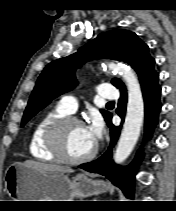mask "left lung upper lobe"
<instances>
[{
  "mask_svg": "<svg viewBox=\"0 0 176 211\" xmlns=\"http://www.w3.org/2000/svg\"><path fill=\"white\" fill-rule=\"evenodd\" d=\"M148 46L138 36L124 29L102 33L81 47L76 53L49 63L39 76L24 112L22 126L57 96L77 85L74 72L86 61L110 58L129 63L138 73L140 83L155 77V60ZM112 84L126 90L121 80L114 78ZM107 121L111 113L101 110Z\"/></svg>",
  "mask_w": 176,
  "mask_h": 211,
  "instance_id": "1",
  "label": "left lung upper lobe"
}]
</instances>
